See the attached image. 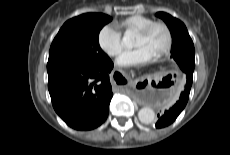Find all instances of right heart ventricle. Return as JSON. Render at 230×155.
Listing matches in <instances>:
<instances>
[{
  "label": "right heart ventricle",
  "instance_id": "right-heart-ventricle-1",
  "mask_svg": "<svg viewBox=\"0 0 230 155\" xmlns=\"http://www.w3.org/2000/svg\"><path fill=\"white\" fill-rule=\"evenodd\" d=\"M152 22H154V20L149 17L134 15L124 19L118 25L127 33H137Z\"/></svg>",
  "mask_w": 230,
  "mask_h": 155
}]
</instances>
